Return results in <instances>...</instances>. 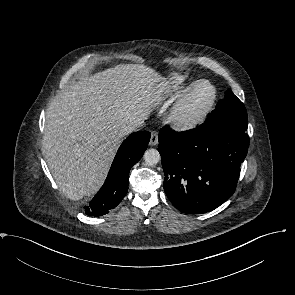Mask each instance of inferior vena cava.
I'll list each match as a JSON object with an SVG mask.
<instances>
[{
    "mask_svg": "<svg viewBox=\"0 0 295 295\" xmlns=\"http://www.w3.org/2000/svg\"><path fill=\"white\" fill-rule=\"evenodd\" d=\"M143 124L141 119H135L130 124L124 127L122 134L127 135L135 130H137Z\"/></svg>",
    "mask_w": 295,
    "mask_h": 295,
    "instance_id": "obj_1",
    "label": "inferior vena cava"
}]
</instances>
